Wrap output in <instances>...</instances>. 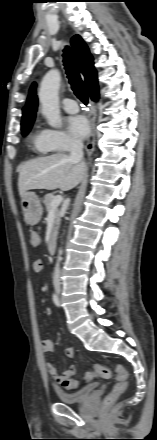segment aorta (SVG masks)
Returning <instances> with one entry per match:
<instances>
[{"label":"aorta","mask_w":157,"mask_h":440,"mask_svg":"<svg viewBox=\"0 0 157 440\" xmlns=\"http://www.w3.org/2000/svg\"><path fill=\"white\" fill-rule=\"evenodd\" d=\"M60 81V72L57 69H52L44 76L39 91L42 114L52 127H58L61 123L58 98Z\"/></svg>","instance_id":"aorta-1"}]
</instances>
